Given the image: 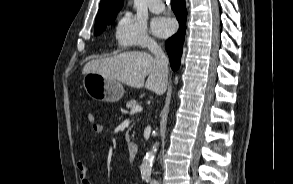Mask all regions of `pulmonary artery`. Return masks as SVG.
Listing matches in <instances>:
<instances>
[{
    "label": "pulmonary artery",
    "mask_w": 293,
    "mask_h": 184,
    "mask_svg": "<svg viewBox=\"0 0 293 184\" xmlns=\"http://www.w3.org/2000/svg\"><path fill=\"white\" fill-rule=\"evenodd\" d=\"M148 7H149V10L155 14L162 13L165 9V5L162 2V0H150Z\"/></svg>",
    "instance_id": "e3ab8cb5"
}]
</instances>
